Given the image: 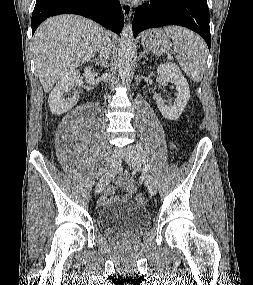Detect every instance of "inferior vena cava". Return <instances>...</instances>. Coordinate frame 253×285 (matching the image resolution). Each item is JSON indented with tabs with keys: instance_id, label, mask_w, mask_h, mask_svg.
Segmentation results:
<instances>
[{
	"instance_id": "1",
	"label": "inferior vena cava",
	"mask_w": 253,
	"mask_h": 285,
	"mask_svg": "<svg viewBox=\"0 0 253 285\" xmlns=\"http://www.w3.org/2000/svg\"><path fill=\"white\" fill-rule=\"evenodd\" d=\"M110 49L111 47H110L108 40L106 39V37H103L101 47H100V59L101 60L103 59L102 63H104V60L107 59Z\"/></svg>"
}]
</instances>
